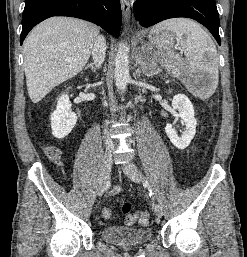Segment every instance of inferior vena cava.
<instances>
[{
	"label": "inferior vena cava",
	"mask_w": 247,
	"mask_h": 257,
	"mask_svg": "<svg viewBox=\"0 0 247 257\" xmlns=\"http://www.w3.org/2000/svg\"><path fill=\"white\" fill-rule=\"evenodd\" d=\"M106 54V42L103 36H98L94 42L92 56L97 67H100L105 59ZM105 144L107 147H113V141L111 140L108 132L104 129Z\"/></svg>",
	"instance_id": "602c4592"
}]
</instances>
